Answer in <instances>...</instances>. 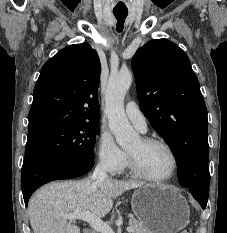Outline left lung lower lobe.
Returning <instances> with one entry per match:
<instances>
[{
  "label": "left lung lower lobe",
  "mask_w": 227,
  "mask_h": 233,
  "mask_svg": "<svg viewBox=\"0 0 227 233\" xmlns=\"http://www.w3.org/2000/svg\"><path fill=\"white\" fill-rule=\"evenodd\" d=\"M193 197L201 204L202 208H206L208 194L198 193V192H191Z\"/></svg>",
  "instance_id": "obj_1"
}]
</instances>
